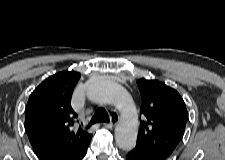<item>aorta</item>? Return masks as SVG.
<instances>
[{
	"mask_svg": "<svg viewBox=\"0 0 225 160\" xmlns=\"http://www.w3.org/2000/svg\"><path fill=\"white\" fill-rule=\"evenodd\" d=\"M87 97L98 104H113L121 112V119L115 129V140L124 150L136 145L138 116L129 93L119 84L110 80H98L87 88Z\"/></svg>",
	"mask_w": 225,
	"mask_h": 160,
	"instance_id": "1",
	"label": "aorta"
}]
</instances>
